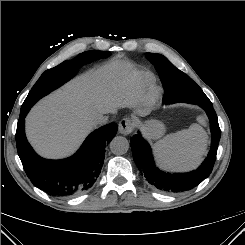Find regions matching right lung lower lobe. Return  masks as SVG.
<instances>
[{
    "mask_svg": "<svg viewBox=\"0 0 245 245\" xmlns=\"http://www.w3.org/2000/svg\"><path fill=\"white\" fill-rule=\"evenodd\" d=\"M96 59L89 57L84 64ZM28 111L20 112L16 144L23 168L33 185L60 197L76 196L87 191L101 171L105 146L116 135L117 124L110 123L92 132L73 156L47 160L37 155L26 139L25 116Z\"/></svg>",
    "mask_w": 245,
    "mask_h": 245,
    "instance_id": "right-lung-lower-lobe-1",
    "label": "right lung lower lobe"
}]
</instances>
